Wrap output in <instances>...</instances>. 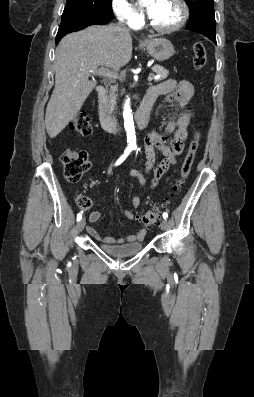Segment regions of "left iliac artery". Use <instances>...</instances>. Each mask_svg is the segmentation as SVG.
<instances>
[{"instance_id":"1","label":"left iliac artery","mask_w":254,"mask_h":397,"mask_svg":"<svg viewBox=\"0 0 254 397\" xmlns=\"http://www.w3.org/2000/svg\"><path fill=\"white\" fill-rule=\"evenodd\" d=\"M163 218H164L165 220H167L168 214H167L166 212L163 213Z\"/></svg>"}]
</instances>
